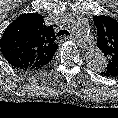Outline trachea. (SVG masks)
Instances as JSON below:
<instances>
[{
	"mask_svg": "<svg viewBox=\"0 0 118 118\" xmlns=\"http://www.w3.org/2000/svg\"><path fill=\"white\" fill-rule=\"evenodd\" d=\"M67 35H70V33L67 31V30H60L58 33H57V36H67Z\"/></svg>",
	"mask_w": 118,
	"mask_h": 118,
	"instance_id": "1",
	"label": "trachea"
}]
</instances>
